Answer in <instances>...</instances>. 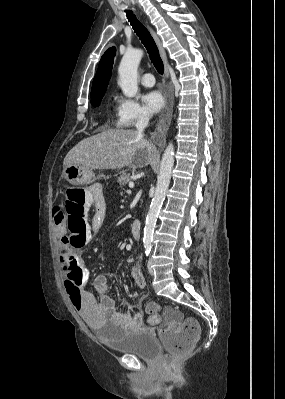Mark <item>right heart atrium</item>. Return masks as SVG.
<instances>
[{
    "label": "right heart atrium",
    "mask_w": 285,
    "mask_h": 399,
    "mask_svg": "<svg viewBox=\"0 0 285 399\" xmlns=\"http://www.w3.org/2000/svg\"><path fill=\"white\" fill-rule=\"evenodd\" d=\"M116 118L119 126L132 127L139 121L147 120L148 112L131 98L118 95L116 97Z\"/></svg>",
    "instance_id": "right-heart-atrium-1"
}]
</instances>
